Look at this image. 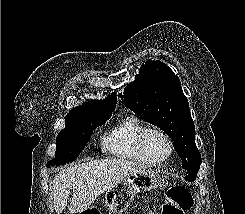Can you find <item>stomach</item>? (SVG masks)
<instances>
[{
	"label": "stomach",
	"mask_w": 245,
	"mask_h": 214,
	"mask_svg": "<svg viewBox=\"0 0 245 214\" xmlns=\"http://www.w3.org/2000/svg\"><path fill=\"white\" fill-rule=\"evenodd\" d=\"M161 184L156 172L139 168L106 191L105 203L114 214H121L138 193L155 190ZM88 210L91 209H86L83 213H89Z\"/></svg>",
	"instance_id": "obj_1"
}]
</instances>
